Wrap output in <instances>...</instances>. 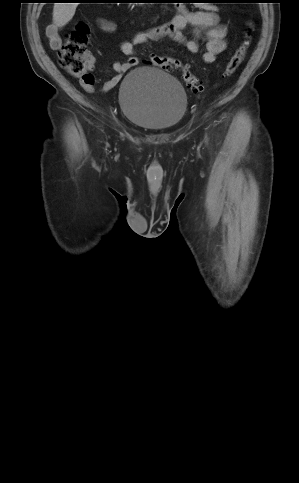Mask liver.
Wrapping results in <instances>:
<instances>
[{"label": "liver", "mask_w": 299, "mask_h": 483, "mask_svg": "<svg viewBox=\"0 0 299 483\" xmlns=\"http://www.w3.org/2000/svg\"><path fill=\"white\" fill-rule=\"evenodd\" d=\"M78 3H55L53 21L58 27L65 26L74 16Z\"/></svg>", "instance_id": "1"}]
</instances>
